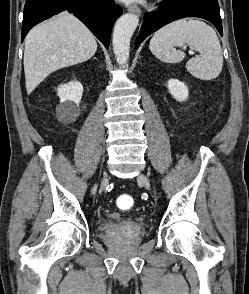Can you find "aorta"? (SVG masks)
Instances as JSON below:
<instances>
[{"label":"aorta","mask_w":249,"mask_h":294,"mask_svg":"<svg viewBox=\"0 0 249 294\" xmlns=\"http://www.w3.org/2000/svg\"><path fill=\"white\" fill-rule=\"evenodd\" d=\"M137 15L127 13L116 22L113 31V52L119 65L124 66L129 60L131 37L138 26Z\"/></svg>","instance_id":"762f6f07"}]
</instances>
